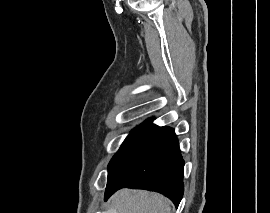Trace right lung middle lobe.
<instances>
[{
	"label": "right lung middle lobe",
	"mask_w": 270,
	"mask_h": 213,
	"mask_svg": "<svg viewBox=\"0 0 270 213\" xmlns=\"http://www.w3.org/2000/svg\"><path fill=\"white\" fill-rule=\"evenodd\" d=\"M138 127H139V126H138ZM138 127H137V128H138ZM137 128H136V129H137ZM136 129H134V130L132 131V133L126 138V140L124 141V143L122 144V146L120 147V149L127 143V141L130 139V137L133 135V133L135 132ZM117 153H118V152H117ZM117 153H116V154H117ZM116 154H115V156H116ZM115 156H114V157H115ZM114 157L112 158V160L114 159ZM112 160H111V161H112ZM111 161H110V162H111Z\"/></svg>",
	"instance_id": "right-lung-middle-lobe-1"
}]
</instances>
